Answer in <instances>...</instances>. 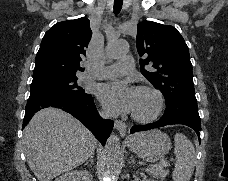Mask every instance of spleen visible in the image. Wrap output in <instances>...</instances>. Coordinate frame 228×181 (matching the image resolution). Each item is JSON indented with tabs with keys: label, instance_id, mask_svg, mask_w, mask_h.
Segmentation results:
<instances>
[{
	"label": "spleen",
	"instance_id": "3e777b00",
	"mask_svg": "<svg viewBox=\"0 0 228 181\" xmlns=\"http://www.w3.org/2000/svg\"><path fill=\"white\" fill-rule=\"evenodd\" d=\"M175 169L172 173L173 181H190L195 167V149L182 133L174 137Z\"/></svg>",
	"mask_w": 228,
	"mask_h": 181
}]
</instances>
